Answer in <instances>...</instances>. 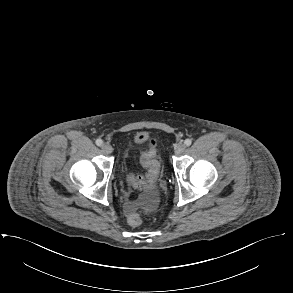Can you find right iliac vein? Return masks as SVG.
<instances>
[{
	"label": "right iliac vein",
	"mask_w": 293,
	"mask_h": 293,
	"mask_svg": "<svg viewBox=\"0 0 293 293\" xmlns=\"http://www.w3.org/2000/svg\"><path fill=\"white\" fill-rule=\"evenodd\" d=\"M101 148L105 154H111L113 151L112 146L108 143H104Z\"/></svg>",
	"instance_id": "right-iliac-vein-1"
}]
</instances>
